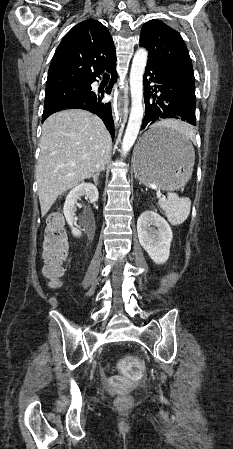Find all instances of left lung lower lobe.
I'll use <instances>...</instances> for the list:
<instances>
[{"label": "left lung lower lobe", "mask_w": 233, "mask_h": 449, "mask_svg": "<svg viewBox=\"0 0 233 449\" xmlns=\"http://www.w3.org/2000/svg\"><path fill=\"white\" fill-rule=\"evenodd\" d=\"M150 83H154V86H150ZM144 92L146 106L141 129L164 118H175L196 125L195 87L183 82L163 68L147 62L144 74ZM153 92H159L160 95L156 96ZM180 142L181 137L174 133H154L146 138L144 148L174 145Z\"/></svg>", "instance_id": "obj_1"}]
</instances>
